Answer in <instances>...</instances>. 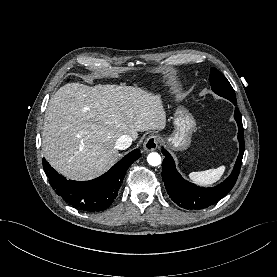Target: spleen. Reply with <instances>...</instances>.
Here are the masks:
<instances>
[{
    "mask_svg": "<svg viewBox=\"0 0 277 277\" xmlns=\"http://www.w3.org/2000/svg\"><path fill=\"white\" fill-rule=\"evenodd\" d=\"M224 171L225 166H220L216 169L192 172L188 176L193 182L202 186H208L217 182L222 177Z\"/></svg>",
    "mask_w": 277,
    "mask_h": 277,
    "instance_id": "1",
    "label": "spleen"
}]
</instances>
